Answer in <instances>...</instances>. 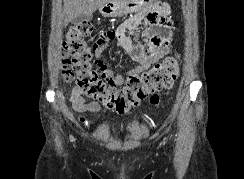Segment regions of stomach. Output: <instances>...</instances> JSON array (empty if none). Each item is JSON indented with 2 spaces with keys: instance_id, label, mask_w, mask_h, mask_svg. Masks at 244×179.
<instances>
[{
  "instance_id": "0dacf381",
  "label": "stomach",
  "mask_w": 244,
  "mask_h": 179,
  "mask_svg": "<svg viewBox=\"0 0 244 179\" xmlns=\"http://www.w3.org/2000/svg\"><path fill=\"white\" fill-rule=\"evenodd\" d=\"M146 2L149 0H107L105 4H101L99 12L102 16L116 18V16H123V14L137 12L140 6Z\"/></svg>"
}]
</instances>
